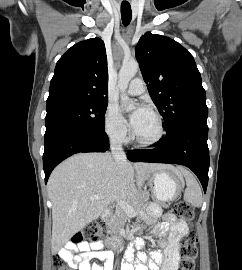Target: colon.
I'll use <instances>...</instances> for the list:
<instances>
[{
    "label": "colon",
    "mask_w": 242,
    "mask_h": 270,
    "mask_svg": "<svg viewBox=\"0 0 242 270\" xmlns=\"http://www.w3.org/2000/svg\"><path fill=\"white\" fill-rule=\"evenodd\" d=\"M174 213L181 219L190 221L193 218V208L187 202H179L174 206ZM108 234L107 226L104 221L96 220L90 222L82 231L78 232L73 238L72 243L79 244L86 241L96 240ZM180 254L182 257L181 270H196V260L198 257L197 236L191 231L183 240ZM54 270H76L70 266L60 255H55L52 259Z\"/></svg>",
    "instance_id": "5ec220e1"
}]
</instances>
